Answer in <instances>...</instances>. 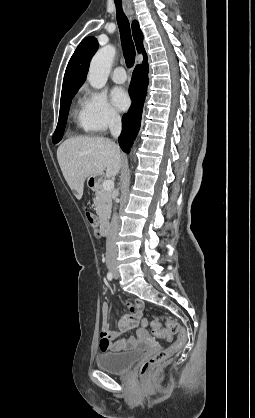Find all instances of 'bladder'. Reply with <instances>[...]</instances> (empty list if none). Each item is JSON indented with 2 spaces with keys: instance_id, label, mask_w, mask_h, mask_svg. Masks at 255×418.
<instances>
[{
  "instance_id": "obj_1",
  "label": "bladder",
  "mask_w": 255,
  "mask_h": 418,
  "mask_svg": "<svg viewBox=\"0 0 255 418\" xmlns=\"http://www.w3.org/2000/svg\"><path fill=\"white\" fill-rule=\"evenodd\" d=\"M141 355L140 349L105 352L96 357V365L105 372L121 374L126 372Z\"/></svg>"
}]
</instances>
